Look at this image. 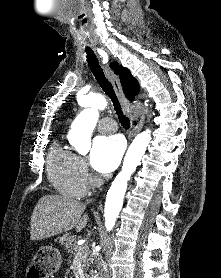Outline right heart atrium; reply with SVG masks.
Returning <instances> with one entry per match:
<instances>
[{
  "label": "right heart atrium",
  "mask_w": 221,
  "mask_h": 278,
  "mask_svg": "<svg viewBox=\"0 0 221 278\" xmlns=\"http://www.w3.org/2000/svg\"><path fill=\"white\" fill-rule=\"evenodd\" d=\"M79 166H80L82 172L85 174L87 172V166H86L84 160L81 158H79Z\"/></svg>",
  "instance_id": "d8ad5b80"
}]
</instances>
